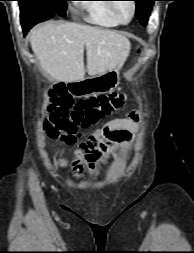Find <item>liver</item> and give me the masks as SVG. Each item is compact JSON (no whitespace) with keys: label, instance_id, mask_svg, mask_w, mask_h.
Returning <instances> with one entry per match:
<instances>
[{"label":"liver","instance_id":"1","mask_svg":"<svg viewBox=\"0 0 194 253\" xmlns=\"http://www.w3.org/2000/svg\"><path fill=\"white\" fill-rule=\"evenodd\" d=\"M30 44L43 71L63 82L84 79V47L90 76L121 67L131 48L130 41L116 31L55 21L34 27Z\"/></svg>","mask_w":194,"mask_h":253}]
</instances>
